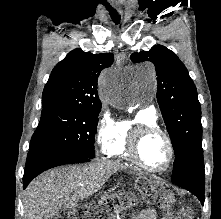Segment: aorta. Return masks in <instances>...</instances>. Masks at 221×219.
I'll return each instance as SVG.
<instances>
[{
	"mask_svg": "<svg viewBox=\"0 0 221 219\" xmlns=\"http://www.w3.org/2000/svg\"><path fill=\"white\" fill-rule=\"evenodd\" d=\"M143 74L151 82L154 81V71L147 70ZM101 96L107 100H116L118 93L116 91V81L112 75H104L101 78Z\"/></svg>",
	"mask_w": 221,
	"mask_h": 219,
	"instance_id": "1",
	"label": "aorta"
}]
</instances>
